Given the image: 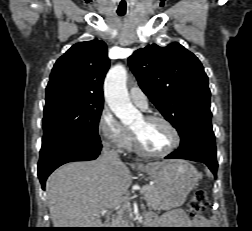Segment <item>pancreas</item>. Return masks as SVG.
I'll list each match as a JSON object with an SVG mask.
<instances>
[{"instance_id": "cf45deb5", "label": "pancreas", "mask_w": 252, "mask_h": 231, "mask_svg": "<svg viewBox=\"0 0 252 231\" xmlns=\"http://www.w3.org/2000/svg\"><path fill=\"white\" fill-rule=\"evenodd\" d=\"M144 199L147 202V204L151 206L152 208L161 207V201H160V198L158 196V192L155 186H150V185L147 186V189L144 191ZM125 207H127V205H125ZM123 214H124L123 210L117 213V215L114 218L115 225H118V226L126 225L127 222L124 219Z\"/></svg>"}]
</instances>
